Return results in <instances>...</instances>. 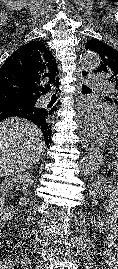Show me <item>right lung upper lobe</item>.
I'll list each match as a JSON object with an SVG mask.
<instances>
[{"mask_svg": "<svg viewBox=\"0 0 118 269\" xmlns=\"http://www.w3.org/2000/svg\"><path fill=\"white\" fill-rule=\"evenodd\" d=\"M57 63L42 42H29L16 50L0 68V100L15 98L37 107L30 120L51 136V115L54 108L40 106L38 100L58 85Z\"/></svg>", "mask_w": 118, "mask_h": 269, "instance_id": "obj_1", "label": "right lung upper lobe"}]
</instances>
